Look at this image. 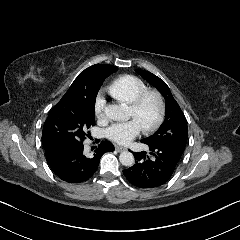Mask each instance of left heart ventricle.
Segmentation results:
<instances>
[{"label": "left heart ventricle", "mask_w": 240, "mask_h": 240, "mask_svg": "<svg viewBox=\"0 0 240 240\" xmlns=\"http://www.w3.org/2000/svg\"><path fill=\"white\" fill-rule=\"evenodd\" d=\"M157 114H158L157 103L152 97H149L143 102L142 106L137 112L133 113L129 109L128 119L129 118L135 119L142 128L150 126L156 120Z\"/></svg>", "instance_id": "obj_1"}]
</instances>
